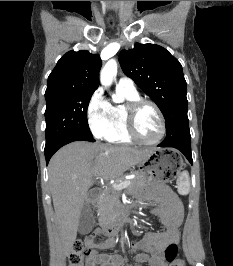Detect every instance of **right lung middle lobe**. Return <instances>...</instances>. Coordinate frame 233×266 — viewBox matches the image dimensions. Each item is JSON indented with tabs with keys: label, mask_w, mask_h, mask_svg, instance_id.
Listing matches in <instances>:
<instances>
[{
	"label": "right lung middle lobe",
	"mask_w": 233,
	"mask_h": 266,
	"mask_svg": "<svg viewBox=\"0 0 233 266\" xmlns=\"http://www.w3.org/2000/svg\"><path fill=\"white\" fill-rule=\"evenodd\" d=\"M93 92H75L46 98V146L75 134L92 135L87 108Z\"/></svg>",
	"instance_id": "right-lung-middle-lobe-1"
}]
</instances>
